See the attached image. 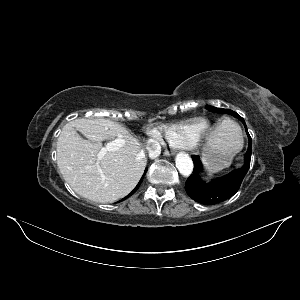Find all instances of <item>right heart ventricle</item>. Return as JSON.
Instances as JSON below:
<instances>
[{
	"label": "right heart ventricle",
	"instance_id": "e07e8e85",
	"mask_svg": "<svg viewBox=\"0 0 300 300\" xmlns=\"http://www.w3.org/2000/svg\"><path fill=\"white\" fill-rule=\"evenodd\" d=\"M210 128V123L202 119H191L184 122L165 125L161 132L169 144L175 148L190 149L197 146Z\"/></svg>",
	"mask_w": 300,
	"mask_h": 300
}]
</instances>
